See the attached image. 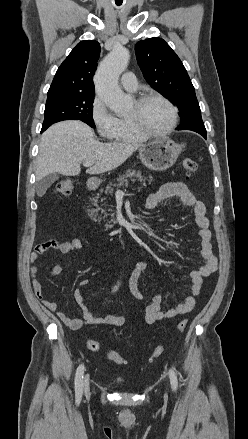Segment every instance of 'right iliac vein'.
Returning <instances> with one entry per match:
<instances>
[{"mask_svg": "<svg viewBox=\"0 0 248 439\" xmlns=\"http://www.w3.org/2000/svg\"><path fill=\"white\" fill-rule=\"evenodd\" d=\"M89 391V379L88 377L84 380V392L87 393Z\"/></svg>", "mask_w": 248, "mask_h": 439, "instance_id": "obj_1", "label": "right iliac vein"}]
</instances>
